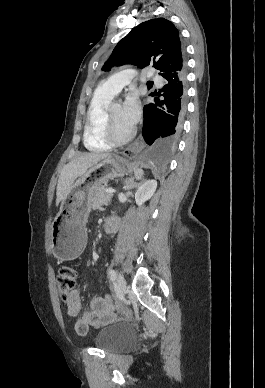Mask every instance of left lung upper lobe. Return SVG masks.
Returning <instances> with one entry per match:
<instances>
[{
    "label": "left lung upper lobe",
    "mask_w": 265,
    "mask_h": 388,
    "mask_svg": "<svg viewBox=\"0 0 265 388\" xmlns=\"http://www.w3.org/2000/svg\"><path fill=\"white\" fill-rule=\"evenodd\" d=\"M130 63L139 68L152 65L162 77L184 69L185 51L173 23L157 18L139 24L117 44L103 70Z\"/></svg>",
    "instance_id": "left-lung-upper-lobe-1"
}]
</instances>
